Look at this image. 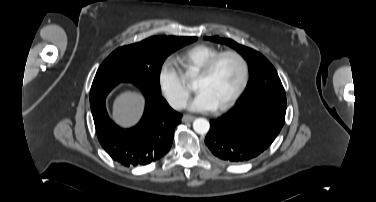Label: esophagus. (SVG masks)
Instances as JSON below:
<instances>
[{"instance_id": "esophagus-1", "label": "esophagus", "mask_w": 376, "mask_h": 202, "mask_svg": "<svg viewBox=\"0 0 376 202\" xmlns=\"http://www.w3.org/2000/svg\"><path fill=\"white\" fill-rule=\"evenodd\" d=\"M194 119H195L194 116H192V115H187V114L183 115V117H182V121H183V122H191V121H193Z\"/></svg>"}]
</instances>
